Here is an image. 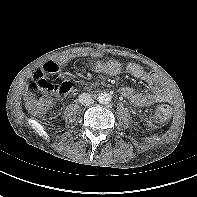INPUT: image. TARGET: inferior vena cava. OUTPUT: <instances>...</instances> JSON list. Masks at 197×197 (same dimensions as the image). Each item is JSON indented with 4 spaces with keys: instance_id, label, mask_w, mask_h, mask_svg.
Wrapping results in <instances>:
<instances>
[{
    "instance_id": "602c4592",
    "label": "inferior vena cava",
    "mask_w": 197,
    "mask_h": 197,
    "mask_svg": "<svg viewBox=\"0 0 197 197\" xmlns=\"http://www.w3.org/2000/svg\"><path fill=\"white\" fill-rule=\"evenodd\" d=\"M92 101V97L90 94L88 93H82L80 96H79V102L81 104H90Z\"/></svg>"
}]
</instances>
